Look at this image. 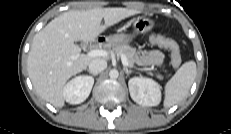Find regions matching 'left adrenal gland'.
I'll use <instances>...</instances> for the list:
<instances>
[{
  "label": "left adrenal gland",
  "mask_w": 231,
  "mask_h": 134,
  "mask_svg": "<svg viewBox=\"0 0 231 134\" xmlns=\"http://www.w3.org/2000/svg\"><path fill=\"white\" fill-rule=\"evenodd\" d=\"M124 71H125V73L127 74V75H129V74H131L133 71L132 70H129V69H127V68H124Z\"/></svg>",
  "instance_id": "a2214340"
}]
</instances>
